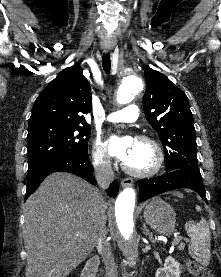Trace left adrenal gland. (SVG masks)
I'll return each instance as SVG.
<instances>
[{"label":"left adrenal gland","instance_id":"1","mask_svg":"<svg viewBox=\"0 0 221 277\" xmlns=\"http://www.w3.org/2000/svg\"><path fill=\"white\" fill-rule=\"evenodd\" d=\"M143 233L147 235L152 242H155L153 234L148 230L146 224H143Z\"/></svg>","mask_w":221,"mask_h":277}]
</instances>
